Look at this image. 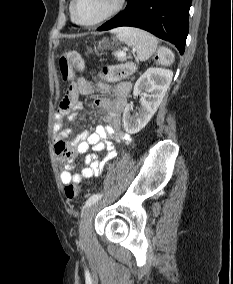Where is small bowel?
Segmentation results:
<instances>
[{
  "instance_id": "small-bowel-1",
  "label": "small bowel",
  "mask_w": 233,
  "mask_h": 284,
  "mask_svg": "<svg viewBox=\"0 0 233 284\" xmlns=\"http://www.w3.org/2000/svg\"><path fill=\"white\" fill-rule=\"evenodd\" d=\"M99 85L102 89L109 90V86L102 83ZM93 91V84L89 78H79L69 86L55 114V153L61 161L60 179L64 185L78 184L83 179L88 180L99 176L106 164L117 155L113 143L124 142L128 144L131 140L130 135L121 129V116L130 91V84L126 82L119 83L111 90L112 97L95 99V104L105 114L103 124L98 125L93 132L85 130L73 140H67L72 131L69 128H63L64 120L75 121L78 112L82 109L79 96L89 95ZM90 149L93 153L88 154L87 165L78 173L72 172L75 158L78 155L88 153ZM99 151H106V156L101 161L97 159L95 154Z\"/></svg>"
}]
</instances>
